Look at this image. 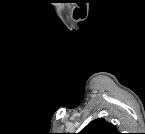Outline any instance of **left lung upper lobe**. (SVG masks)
<instances>
[{"label": "left lung upper lobe", "instance_id": "5c2ea615", "mask_svg": "<svg viewBox=\"0 0 145 134\" xmlns=\"http://www.w3.org/2000/svg\"><path fill=\"white\" fill-rule=\"evenodd\" d=\"M80 134H119L116 127L102 118L90 122Z\"/></svg>", "mask_w": 145, "mask_h": 134}]
</instances>
